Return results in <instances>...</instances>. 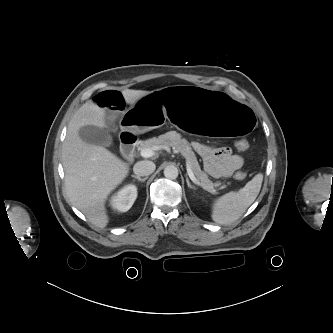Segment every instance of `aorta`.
Masks as SVG:
<instances>
[{"mask_svg": "<svg viewBox=\"0 0 333 333\" xmlns=\"http://www.w3.org/2000/svg\"><path fill=\"white\" fill-rule=\"evenodd\" d=\"M164 176L168 179H176L178 177V169L173 165H169L164 169Z\"/></svg>", "mask_w": 333, "mask_h": 333, "instance_id": "762f6f07", "label": "aorta"}]
</instances>
